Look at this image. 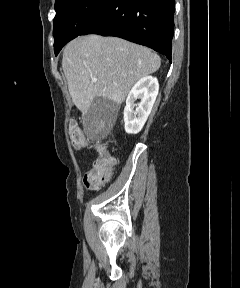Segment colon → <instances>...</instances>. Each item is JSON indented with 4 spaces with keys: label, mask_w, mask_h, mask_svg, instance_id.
Instances as JSON below:
<instances>
[{
    "label": "colon",
    "mask_w": 240,
    "mask_h": 288,
    "mask_svg": "<svg viewBox=\"0 0 240 288\" xmlns=\"http://www.w3.org/2000/svg\"><path fill=\"white\" fill-rule=\"evenodd\" d=\"M71 144L74 148H82L86 145V140L75 122L68 125ZM98 156L93 161L90 170L84 176V184L90 190H96L106 184L112 174L115 159L109 154L104 146L98 145Z\"/></svg>",
    "instance_id": "colon-1"
}]
</instances>
